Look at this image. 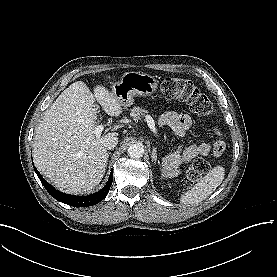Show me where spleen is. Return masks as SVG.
Returning a JSON list of instances; mask_svg holds the SVG:
<instances>
[{
    "instance_id": "spleen-1",
    "label": "spleen",
    "mask_w": 277,
    "mask_h": 277,
    "mask_svg": "<svg viewBox=\"0 0 277 277\" xmlns=\"http://www.w3.org/2000/svg\"><path fill=\"white\" fill-rule=\"evenodd\" d=\"M225 176V169L216 166L210 170L198 183L190 190L186 191L180 198L183 204H195L206 199L222 183Z\"/></svg>"
}]
</instances>
